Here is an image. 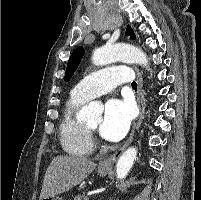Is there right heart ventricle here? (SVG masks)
<instances>
[{"label":"right heart ventricle","mask_w":201,"mask_h":200,"mask_svg":"<svg viewBox=\"0 0 201 200\" xmlns=\"http://www.w3.org/2000/svg\"><path fill=\"white\" fill-rule=\"evenodd\" d=\"M86 101L71 94L64 106L59 125L61 146L65 152L73 156H87L93 150L86 124L78 118V111Z\"/></svg>","instance_id":"1"}]
</instances>
